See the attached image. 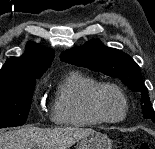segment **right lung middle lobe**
<instances>
[{"label": "right lung middle lobe", "instance_id": "1", "mask_svg": "<svg viewBox=\"0 0 155 149\" xmlns=\"http://www.w3.org/2000/svg\"><path fill=\"white\" fill-rule=\"evenodd\" d=\"M37 78L40 77L0 80V128L26 122Z\"/></svg>", "mask_w": 155, "mask_h": 149}]
</instances>
